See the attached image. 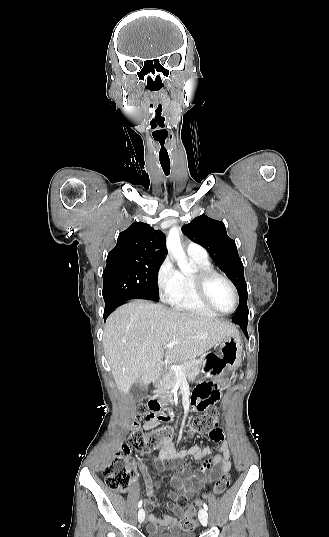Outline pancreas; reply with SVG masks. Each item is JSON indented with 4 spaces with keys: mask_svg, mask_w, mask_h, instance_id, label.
<instances>
[{
    "mask_svg": "<svg viewBox=\"0 0 329 537\" xmlns=\"http://www.w3.org/2000/svg\"><path fill=\"white\" fill-rule=\"evenodd\" d=\"M203 363V359H192L187 360L182 363L181 366L186 367L181 374L183 375L184 379H192L198 373L200 372L201 366ZM178 372H176L174 369H169L162 377V379L156 383L155 385V392L160 393L166 396L171 397L172 396V390L175 388L177 384V376Z\"/></svg>",
    "mask_w": 329,
    "mask_h": 537,
    "instance_id": "pancreas-1",
    "label": "pancreas"
}]
</instances>
